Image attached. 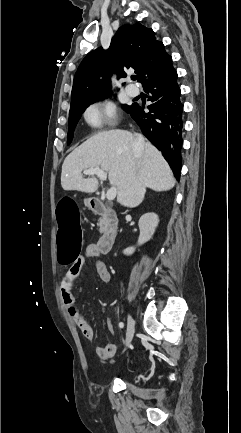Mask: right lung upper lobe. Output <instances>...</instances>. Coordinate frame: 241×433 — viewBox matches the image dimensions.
<instances>
[{"mask_svg":"<svg viewBox=\"0 0 241 433\" xmlns=\"http://www.w3.org/2000/svg\"><path fill=\"white\" fill-rule=\"evenodd\" d=\"M162 42L156 41L152 29L139 23L121 26L111 40L108 50L102 47L91 51L75 74L71 106L79 101L110 95L112 72L126 77L124 69L133 68L144 84L160 74L170 63Z\"/></svg>","mask_w":241,"mask_h":433,"instance_id":"1","label":"right lung upper lobe"}]
</instances>
